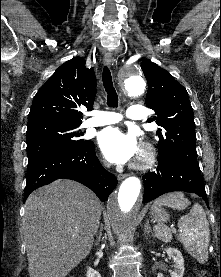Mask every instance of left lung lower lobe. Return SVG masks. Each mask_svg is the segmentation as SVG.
I'll return each mask as SVG.
<instances>
[{"label": "left lung lower lobe", "instance_id": "obj_1", "mask_svg": "<svg viewBox=\"0 0 221 277\" xmlns=\"http://www.w3.org/2000/svg\"><path fill=\"white\" fill-rule=\"evenodd\" d=\"M158 162L159 165L156 171L143 175V203L149 202L167 192L185 191L196 193L203 198L208 206L200 169L175 159L158 160Z\"/></svg>", "mask_w": 221, "mask_h": 277}]
</instances>
